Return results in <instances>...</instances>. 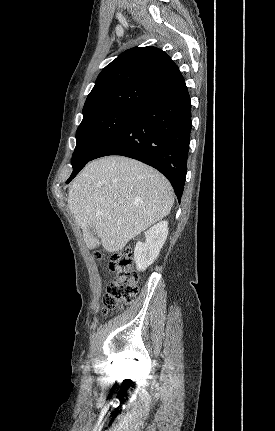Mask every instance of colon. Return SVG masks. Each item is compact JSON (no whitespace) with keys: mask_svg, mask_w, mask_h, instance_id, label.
Here are the masks:
<instances>
[{"mask_svg":"<svg viewBox=\"0 0 275 431\" xmlns=\"http://www.w3.org/2000/svg\"><path fill=\"white\" fill-rule=\"evenodd\" d=\"M109 268L114 274V279L108 284L102 299L104 315L131 303L138 294V275L133 269V257L129 249L113 254Z\"/></svg>","mask_w":275,"mask_h":431,"instance_id":"5ec220e1","label":"colon"}]
</instances>
